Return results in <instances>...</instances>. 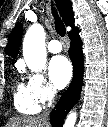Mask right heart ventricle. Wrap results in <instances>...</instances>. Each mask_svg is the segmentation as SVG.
<instances>
[{
    "label": "right heart ventricle",
    "mask_w": 108,
    "mask_h": 127,
    "mask_svg": "<svg viewBox=\"0 0 108 127\" xmlns=\"http://www.w3.org/2000/svg\"><path fill=\"white\" fill-rule=\"evenodd\" d=\"M13 98L14 106L20 113L33 115L39 112V104L34 100L27 85L17 82Z\"/></svg>",
    "instance_id": "right-heart-ventricle-1"
}]
</instances>
